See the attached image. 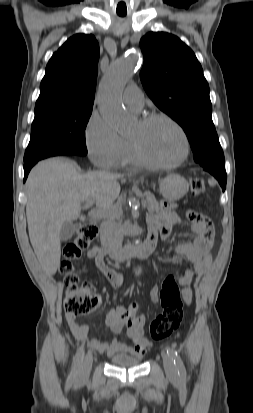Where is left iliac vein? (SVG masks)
Here are the masks:
<instances>
[{"label": "left iliac vein", "mask_w": 253, "mask_h": 413, "mask_svg": "<svg viewBox=\"0 0 253 413\" xmlns=\"http://www.w3.org/2000/svg\"><path fill=\"white\" fill-rule=\"evenodd\" d=\"M161 356H162V359H163V365H164V369H165L167 377L170 378V379H176L177 378V369H176V366L173 362V359L165 351L161 352Z\"/></svg>", "instance_id": "obj_1"}]
</instances>
